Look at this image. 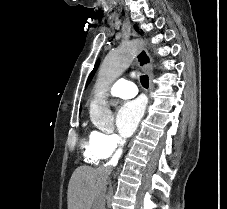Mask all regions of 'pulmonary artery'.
<instances>
[{
  "mask_svg": "<svg viewBox=\"0 0 227 209\" xmlns=\"http://www.w3.org/2000/svg\"><path fill=\"white\" fill-rule=\"evenodd\" d=\"M129 83L132 82L126 79H120L116 81L110 89V94L112 96H118L124 99L134 97L137 94V91L135 90V84Z\"/></svg>",
  "mask_w": 227,
  "mask_h": 209,
  "instance_id": "obj_1",
  "label": "pulmonary artery"
}]
</instances>
